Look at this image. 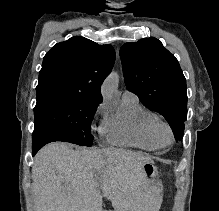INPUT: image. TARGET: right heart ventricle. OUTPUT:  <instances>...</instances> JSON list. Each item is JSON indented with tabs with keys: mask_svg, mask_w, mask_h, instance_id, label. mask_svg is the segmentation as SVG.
I'll use <instances>...</instances> for the list:
<instances>
[{
	"mask_svg": "<svg viewBox=\"0 0 219 211\" xmlns=\"http://www.w3.org/2000/svg\"><path fill=\"white\" fill-rule=\"evenodd\" d=\"M159 116L138 99H122L105 120L104 133L112 144L156 150L160 147L151 133V123Z\"/></svg>",
	"mask_w": 219,
	"mask_h": 211,
	"instance_id": "1",
	"label": "right heart ventricle"
}]
</instances>
